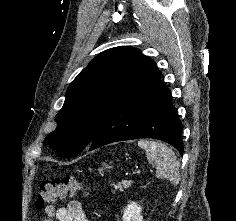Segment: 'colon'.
Instances as JSON below:
<instances>
[{
	"instance_id": "colon-1",
	"label": "colon",
	"mask_w": 236,
	"mask_h": 221,
	"mask_svg": "<svg viewBox=\"0 0 236 221\" xmlns=\"http://www.w3.org/2000/svg\"><path fill=\"white\" fill-rule=\"evenodd\" d=\"M78 192L87 194V189L73 176H65L53 180H46L40 184L36 206L41 209L52 205L58 199H65Z\"/></svg>"
}]
</instances>
